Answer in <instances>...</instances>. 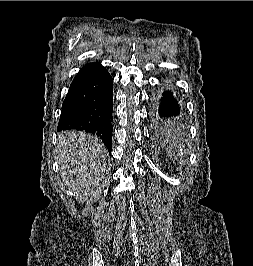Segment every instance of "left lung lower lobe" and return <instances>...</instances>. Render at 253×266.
Returning a JSON list of instances; mask_svg holds the SVG:
<instances>
[{
  "instance_id": "obj_1",
  "label": "left lung lower lobe",
  "mask_w": 253,
  "mask_h": 266,
  "mask_svg": "<svg viewBox=\"0 0 253 266\" xmlns=\"http://www.w3.org/2000/svg\"><path fill=\"white\" fill-rule=\"evenodd\" d=\"M181 116L180 105L172 92L165 91L158 102V109L153 115V124L161 131L172 130Z\"/></svg>"
}]
</instances>
